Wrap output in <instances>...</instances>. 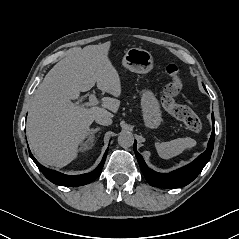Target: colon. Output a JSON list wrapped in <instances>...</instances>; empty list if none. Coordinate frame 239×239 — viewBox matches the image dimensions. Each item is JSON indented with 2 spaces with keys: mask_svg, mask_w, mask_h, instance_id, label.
Listing matches in <instances>:
<instances>
[{
  "mask_svg": "<svg viewBox=\"0 0 239 239\" xmlns=\"http://www.w3.org/2000/svg\"><path fill=\"white\" fill-rule=\"evenodd\" d=\"M166 75L169 79L162 95L163 107L192 132L202 130V122L198 115L187 105L177 102V99L183 92V82L179 75V69L175 64H169L166 67Z\"/></svg>",
  "mask_w": 239,
  "mask_h": 239,
  "instance_id": "colon-1",
  "label": "colon"
}]
</instances>
